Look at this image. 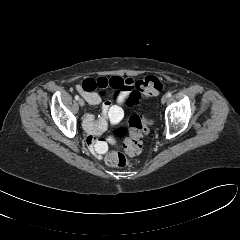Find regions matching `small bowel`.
<instances>
[{
  "mask_svg": "<svg viewBox=\"0 0 240 240\" xmlns=\"http://www.w3.org/2000/svg\"><path fill=\"white\" fill-rule=\"evenodd\" d=\"M135 81L132 78H122L118 76L86 78L75 88L90 105H97L102 101V96L106 89L114 92V104L109 100L102 103L101 116L96 119L92 114L84 116V126L90 135V143H94V138L101 135L107 128L108 122L111 124L119 123L124 112L123 103L131 96Z\"/></svg>",
  "mask_w": 240,
  "mask_h": 240,
  "instance_id": "1",
  "label": "small bowel"
}]
</instances>
